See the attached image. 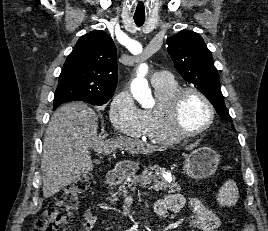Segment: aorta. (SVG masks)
<instances>
[{
    "label": "aorta",
    "mask_w": 268,
    "mask_h": 231,
    "mask_svg": "<svg viewBox=\"0 0 268 231\" xmlns=\"http://www.w3.org/2000/svg\"><path fill=\"white\" fill-rule=\"evenodd\" d=\"M146 73L147 68L137 74V77L132 81L131 92L142 107L148 108L152 106V96L148 81L145 78Z\"/></svg>",
    "instance_id": "1"
}]
</instances>
